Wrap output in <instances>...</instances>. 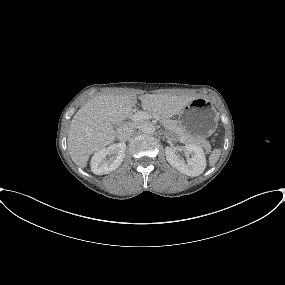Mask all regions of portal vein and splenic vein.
<instances>
[{
    "instance_id": "1",
    "label": "portal vein and splenic vein",
    "mask_w": 285,
    "mask_h": 285,
    "mask_svg": "<svg viewBox=\"0 0 285 285\" xmlns=\"http://www.w3.org/2000/svg\"><path fill=\"white\" fill-rule=\"evenodd\" d=\"M152 116L146 112H137L132 116V120L134 121H139V120H143V119H149ZM155 118H157V116H154Z\"/></svg>"
}]
</instances>
